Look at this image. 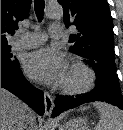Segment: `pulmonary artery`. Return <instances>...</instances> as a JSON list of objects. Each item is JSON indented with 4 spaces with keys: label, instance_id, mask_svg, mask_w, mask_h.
Instances as JSON below:
<instances>
[{
    "label": "pulmonary artery",
    "instance_id": "pulmonary-artery-1",
    "mask_svg": "<svg viewBox=\"0 0 123 130\" xmlns=\"http://www.w3.org/2000/svg\"><path fill=\"white\" fill-rule=\"evenodd\" d=\"M49 35L52 38L59 39L63 36V27L60 24H52L49 29ZM47 39L43 32H31L22 34L13 43L15 49H28L40 46Z\"/></svg>",
    "mask_w": 123,
    "mask_h": 130
}]
</instances>
